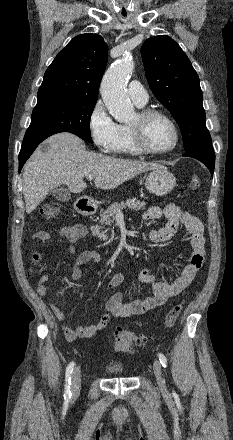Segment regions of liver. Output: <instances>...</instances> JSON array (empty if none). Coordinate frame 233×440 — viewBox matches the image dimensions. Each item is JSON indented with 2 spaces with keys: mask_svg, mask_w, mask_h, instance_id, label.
Masks as SVG:
<instances>
[{
  "mask_svg": "<svg viewBox=\"0 0 233 440\" xmlns=\"http://www.w3.org/2000/svg\"><path fill=\"white\" fill-rule=\"evenodd\" d=\"M44 144L50 149H36L23 172V196L26 212L30 214L46 198L49 191L65 184L72 193L86 189V175H93L97 188L109 190L118 187L147 170L161 168L157 163L118 159L86 151L76 135L61 132L52 135Z\"/></svg>",
  "mask_w": 233,
  "mask_h": 440,
  "instance_id": "obj_1",
  "label": "liver"
}]
</instances>
